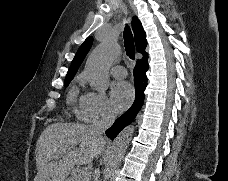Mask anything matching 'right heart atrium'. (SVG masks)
Segmentation results:
<instances>
[{
    "instance_id": "obj_1",
    "label": "right heart atrium",
    "mask_w": 228,
    "mask_h": 181,
    "mask_svg": "<svg viewBox=\"0 0 228 181\" xmlns=\"http://www.w3.org/2000/svg\"><path fill=\"white\" fill-rule=\"evenodd\" d=\"M111 114V105L102 93L90 91L81 99L80 117L89 123L107 118Z\"/></svg>"
}]
</instances>
